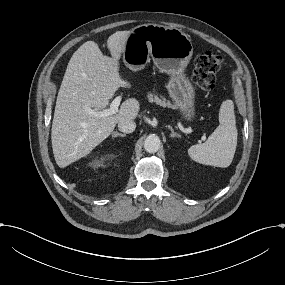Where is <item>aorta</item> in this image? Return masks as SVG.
I'll use <instances>...</instances> for the list:
<instances>
[{"label":"aorta","instance_id":"762f6f07","mask_svg":"<svg viewBox=\"0 0 285 285\" xmlns=\"http://www.w3.org/2000/svg\"><path fill=\"white\" fill-rule=\"evenodd\" d=\"M161 145L159 137L155 134H150L144 141V149L148 153H156Z\"/></svg>","mask_w":285,"mask_h":285}]
</instances>
